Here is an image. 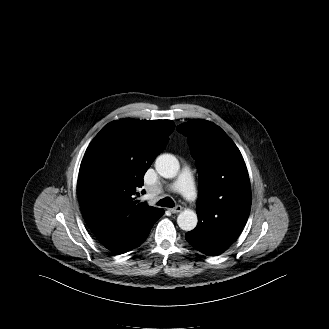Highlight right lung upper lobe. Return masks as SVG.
Here are the masks:
<instances>
[{
    "label": "right lung upper lobe",
    "mask_w": 329,
    "mask_h": 329,
    "mask_svg": "<svg viewBox=\"0 0 329 329\" xmlns=\"http://www.w3.org/2000/svg\"><path fill=\"white\" fill-rule=\"evenodd\" d=\"M174 130L170 120L122 119L107 124L93 139L78 176V197L93 234L113 224L146 220L161 209L137 204L134 195L155 157Z\"/></svg>",
    "instance_id": "right-lung-upper-lobe-1"
}]
</instances>
